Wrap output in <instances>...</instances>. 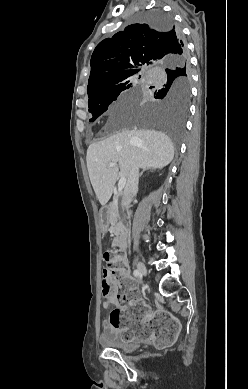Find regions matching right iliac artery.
<instances>
[{"label": "right iliac artery", "mask_w": 248, "mask_h": 389, "mask_svg": "<svg viewBox=\"0 0 248 389\" xmlns=\"http://www.w3.org/2000/svg\"><path fill=\"white\" fill-rule=\"evenodd\" d=\"M134 276L136 277H139L140 276V272L138 270H134L133 272Z\"/></svg>", "instance_id": "obj_1"}]
</instances>
